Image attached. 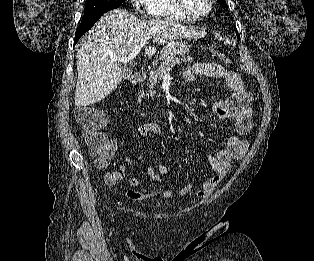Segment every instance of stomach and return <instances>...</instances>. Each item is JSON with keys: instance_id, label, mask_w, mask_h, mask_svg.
I'll list each match as a JSON object with an SVG mask.
<instances>
[{"instance_id": "stomach-1", "label": "stomach", "mask_w": 314, "mask_h": 261, "mask_svg": "<svg viewBox=\"0 0 314 261\" xmlns=\"http://www.w3.org/2000/svg\"><path fill=\"white\" fill-rule=\"evenodd\" d=\"M168 47L167 51H162L160 58H164L167 55H180V56H184L187 53H189V48L190 46L188 45V43L184 40L180 39H173L171 41H169V43L166 45Z\"/></svg>"}]
</instances>
